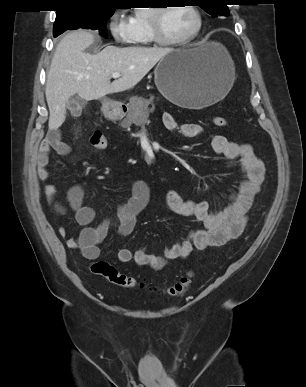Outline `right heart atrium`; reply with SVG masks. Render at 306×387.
Listing matches in <instances>:
<instances>
[{
  "label": "right heart atrium",
  "instance_id": "d8ad5b80",
  "mask_svg": "<svg viewBox=\"0 0 306 387\" xmlns=\"http://www.w3.org/2000/svg\"><path fill=\"white\" fill-rule=\"evenodd\" d=\"M109 31L113 39L120 44L131 42L132 27L129 21L113 16L108 25Z\"/></svg>",
  "mask_w": 306,
  "mask_h": 387
}]
</instances>
